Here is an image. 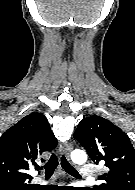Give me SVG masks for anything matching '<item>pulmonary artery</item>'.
Instances as JSON below:
<instances>
[{
    "mask_svg": "<svg viewBox=\"0 0 135 190\" xmlns=\"http://www.w3.org/2000/svg\"><path fill=\"white\" fill-rule=\"evenodd\" d=\"M96 173L95 166L93 164H83L80 169V175L84 179L92 178ZM37 183H42V179H35Z\"/></svg>",
    "mask_w": 135,
    "mask_h": 190,
    "instance_id": "obj_1",
    "label": "pulmonary artery"
}]
</instances>
